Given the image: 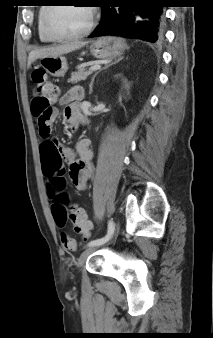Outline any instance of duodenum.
Segmentation results:
<instances>
[{
    "mask_svg": "<svg viewBox=\"0 0 213 338\" xmlns=\"http://www.w3.org/2000/svg\"><path fill=\"white\" fill-rule=\"evenodd\" d=\"M76 127H77V124H74V125H73V128L75 129Z\"/></svg>",
    "mask_w": 213,
    "mask_h": 338,
    "instance_id": "duodenum-1",
    "label": "duodenum"
}]
</instances>
